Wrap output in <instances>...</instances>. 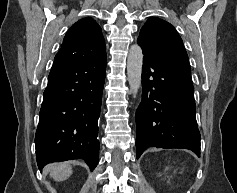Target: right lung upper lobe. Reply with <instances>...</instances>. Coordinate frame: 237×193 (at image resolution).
I'll return each mask as SVG.
<instances>
[{
	"label": "right lung upper lobe",
	"mask_w": 237,
	"mask_h": 193,
	"mask_svg": "<svg viewBox=\"0 0 237 193\" xmlns=\"http://www.w3.org/2000/svg\"><path fill=\"white\" fill-rule=\"evenodd\" d=\"M58 53L80 60L106 56L105 40L100 26L90 17L77 21L67 31Z\"/></svg>",
	"instance_id": "obj_1"
}]
</instances>
